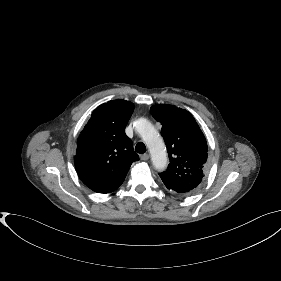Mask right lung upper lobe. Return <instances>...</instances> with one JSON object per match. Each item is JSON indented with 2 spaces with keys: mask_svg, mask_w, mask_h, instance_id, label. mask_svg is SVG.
<instances>
[{
  "mask_svg": "<svg viewBox=\"0 0 281 281\" xmlns=\"http://www.w3.org/2000/svg\"><path fill=\"white\" fill-rule=\"evenodd\" d=\"M134 105L112 100L98 106L77 140L75 167L81 181L98 193H110L124 181L139 156L125 127Z\"/></svg>",
  "mask_w": 281,
  "mask_h": 281,
  "instance_id": "obj_1",
  "label": "right lung upper lobe"
}]
</instances>
